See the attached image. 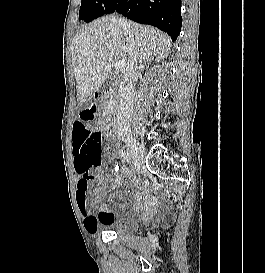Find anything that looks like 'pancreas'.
Listing matches in <instances>:
<instances>
[{"label": "pancreas", "mask_w": 265, "mask_h": 273, "mask_svg": "<svg viewBox=\"0 0 265 273\" xmlns=\"http://www.w3.org/2000/svg\"><path fill=\"white\" fill-rule=\"evenodd\" d=\"M117 105V92L114 88H110L106 93V100L104 104V109L113 111Z\"/></svg>", "instance_id": "1"}]
</instances>
